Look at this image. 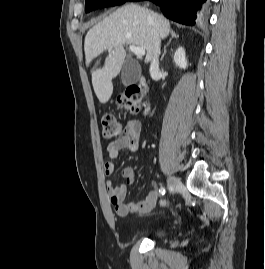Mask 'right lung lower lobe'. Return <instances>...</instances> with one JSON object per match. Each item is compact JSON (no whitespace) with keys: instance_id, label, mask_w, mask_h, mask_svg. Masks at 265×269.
Segmentation results:
<instances>
[{"instance_id":"98d812e1","label":"right lung lower lobe","mask_w":265,"mask_h":269,"mask_svg":"<svg viewBox=\"0 0 265 269\" xmlns=\"http://www.w3.org/2000/svg\"><path fill=\"white\" fill-rule=\"evenodd\" d=\"M132 2L144 0H130ZM158 5L163 14L174 21L194 25L197 13L206 0H149Z\"/></svg>"}]
</instances>
